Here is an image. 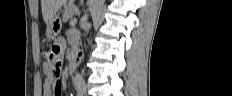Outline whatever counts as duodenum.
<instances>
[{
    "label": "duodenum",
    "instance_id": "obj_1",
    "mask_svg": "<svg viewBox=\"0 0 232 96\" xmlns=\"http://www.w3.org/2000/svg\"><path fill=\"white\" fill-rule=\"evenodd\" d=\"M80 57H81V47L80 45H77L71 54V58H70L69 65H68L69 72H73L75 70Z\"/></svg>",
    "mask_w": 232,
    "mask_h": 96
}]
</instances>
